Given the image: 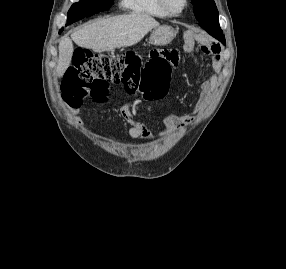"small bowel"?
Returning <instances> with one entry per match:
<instances>
[{
    "label": "small bowel",
    "instance_id": "1",
    "mask_svg": "<svg viewBox=\"0 0 286 269\" xmlns=\"http://www.w3.org/2000/svg\"><path fill=\"white\" fill-rule=\"evenodd\" d=\"M194 48V42L192 40H188L185 42L184 50L186 52H191ZM203 53L207 55H211L213 58L212 68L215 74H212L208 79L203 81L199 87V97L195 105V110L198 112H202L210 98L212 90L217 85V73L220 68V63L218 60L220 47L218 44L209 43L203 45L201 47ZM179 62V54L176 60L172 61V66H178ZM136 108L135 107H125L121 111L122 118L130 124V128L128 130V136L132 140H136L138 138H145L148 142H152V137L150 135V130L148 126L142 121L135 119ZM194 121V117L192 114H168L163 117V129L165 131L172 130H181L189 125H191Z\"/></svg>",
    "mask_w": 286,
    "mask_h": 269
}]
</instances>
